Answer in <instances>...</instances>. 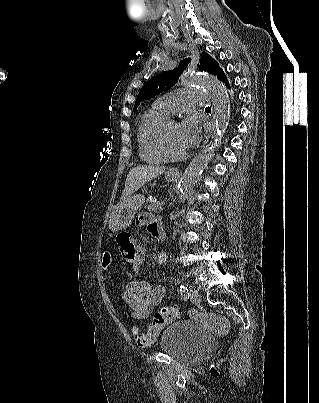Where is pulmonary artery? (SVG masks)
I'll return each mask as SVG.
<instances>
[{"mask_svg": "<svg viewBox=\"0 0 319 403\" xmlns=\"http://www.w3.org/2000/svg\"><path fill=\"white\" fill-rule=\"evenodd\" d=\"M206 96L201 90L182 88L161 96L155 101V105L172 115L195 106L206 107Z\"/></svg>", "mask_w": 319, "mask_h": 403, "instance_id": "pulmonary-artery-1", "label": "pulmonary artery"}]
</instances>
